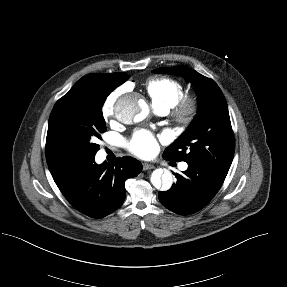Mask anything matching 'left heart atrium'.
<instances>
[{"instance_id": "left-heart-atrium-1", "label": "left heart atrium", "mask_w": 287, "mask_h": 287, "mask_svg": "<svg viewBox=\"0 0 287 287\" xmlns=\"http://www.w3.org/2000/svg\"><path fill=\"white\" fill-rule=\"evenodd\" d=\"M127 146L131 153L142 158L154 155L158 149L155 136L147 130L135 131Z\"/></svg>"}]
</instances>
